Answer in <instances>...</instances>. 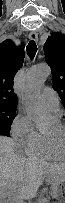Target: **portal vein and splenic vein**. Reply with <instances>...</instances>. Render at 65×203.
<instances>
[{"label":"portal vein and splenic vein","instance_id":"18ae733b","mask_svg":"<svg viewBox=\"0 0 65 203\" xmlns=\"http://www.w3.org/2000/svg\"><path fill=\"white\" fill-rule=\"evenodd\" d=\"M17 203H24L23 201H18Z\"/></svg>","mask_w":65,"mask_h":203}]
</instances>
